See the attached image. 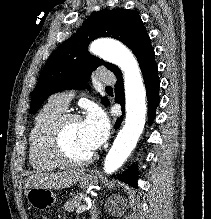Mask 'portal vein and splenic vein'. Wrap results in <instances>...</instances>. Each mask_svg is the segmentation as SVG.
<instances>
[{"mask_svg": "<svg viewBox=\"0 0 211 219\" xmlns=\"http://www.w3.org/2000/svg\"><path fill=\"white\" fill-rule=\"evenodd\" d=\"M87 202H90V199H88ZM86 209H87V205H82L77 209L76 212L79 214V213L84 212Z\"/></svg>", "mask_w": 211, "mask_h": 219, "instance_id": "obj_1", "label": "portal vein and splenic vein"}]
</instances>
